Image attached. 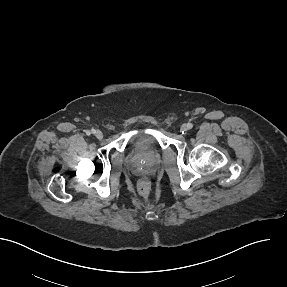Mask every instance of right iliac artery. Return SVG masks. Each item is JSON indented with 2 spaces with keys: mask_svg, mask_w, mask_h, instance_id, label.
I'll return each instance as SVG.
<instances>
[{
  "mask_svg": "<svg viewBox=\"0 0 287 287\" xmlns=\"http://www.w3.org/2000/svg\"><path fill=\"white\" fill-rule=\"evenodd\" d=\"M91 133H95V130L92 129L91 131L88 130V131L86 132L87 135H90Z\"/></svg>",
  "mask_w": 287,
  "mask_h": 287,
  "instance_id": "82829eb1",
  "label": "right iliac artery"
}]
</instances>
